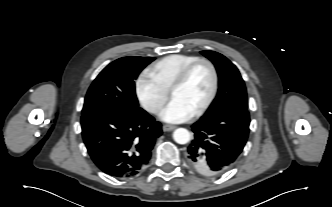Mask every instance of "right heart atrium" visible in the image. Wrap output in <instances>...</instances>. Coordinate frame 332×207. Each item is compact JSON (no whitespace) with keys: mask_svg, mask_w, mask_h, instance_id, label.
<instances>
[{"mask_svg":"<svg viewBox=\"0 0 332 207\" xmlns=\"http://www.w3.org/2000/svg\"><path fill=\"white\" fill-rule=\"evenodd\" d=\"M136 94L143 108L158 114L168 99V93L148 74H141L136 81Z\"/></svg>","mask_w":332,"mask_h":207,"instance_id":"obj_1","label":"right heart atrium"}]
</instances>
